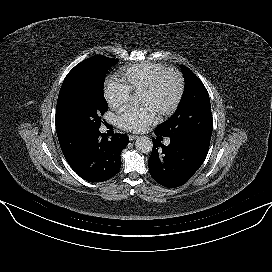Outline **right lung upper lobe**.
<instances>
[{
	"mask_svg": "<svg viewBox=\"0 0 272 272\" xmlns=\"http://www.w3.org/2000/svg\"><path fill=\"white\" fill-rule=\"evenodd\" d=\"M55 123L61 150L66 160H68L78 152V149L84 145L91 136L78 135L72 132L64 127L57 118H55Z\"/></svg>",
	"mask_w": 272,
	"mask_h": 272,
	"instance_id": "1",
	"label": "right lung upper lobe"
}]
</instances>
